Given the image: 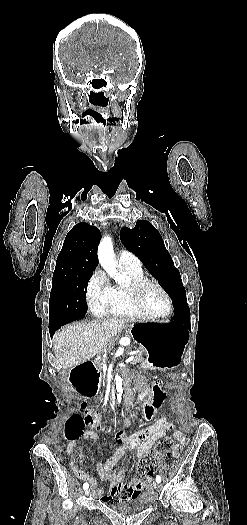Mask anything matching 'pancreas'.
Here are the masks:
<instances>
[{
	"label": "pancreas",
	"instance_id": "cf45deb5",
	"mask_svg": "<svg viewBox=\"0 0 247 525\" xmlns=\"http://www.w3.org/2000/svg\"><path fill=\"white\" fill-rule=\"evenodd\" d=\"M132 353L135 355V360L147 361L149 359V356L147 355L148 354V349L141 348L140 350H138L137 348H134L132 350ZM103 361H104V359H103ZM94 363H95V365H97V367H100V365H101L100 358H96V361H94Z\"/></svg>",
	"mask_w": 247,
	"mask_h": 525
}]
</instances>
